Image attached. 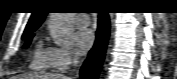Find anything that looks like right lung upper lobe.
Returning a JSON list of instances; mask_svg holds the SVG:
<instances>
[{
  "label": "right lung upper lobe",
  "mask_w": 177,
  "mask_h": 79,
  "mask_svg": "<svg viewBox=\"0 0 177 79\" xmlns=\"http://www.w3.org/2000/svg\"><path fill=\"white\" fill-rule=\"evenodd\" d=\"M46 14L47 11L45 10H37L33 12L25 31L30 29H37L45 19Z\"/></svg>",
  "instance_id": "1"
}]
</instances>
